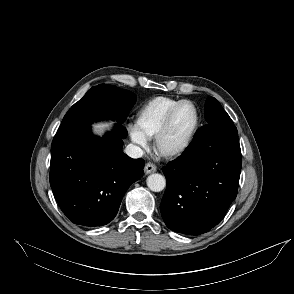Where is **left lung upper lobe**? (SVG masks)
Listing matches in <instances>:
<instances>
[{
  "instance_id": "obj_1",
  "label": "left lung upper lobe",
  "mask_w": 294,
  "mask_h": 294,
  "mask_svg": "<svg viewBox=\"0 0 294 294\" xmlns=\"http://www.w3.org/2000/svg\"><path fill=\"white\" fill-rule=\"evenodd\" d=\"M205 118L208 124L233 123L221 104L214 97L207 99L205 107Z\"/></svg>"
}]
</instances>
